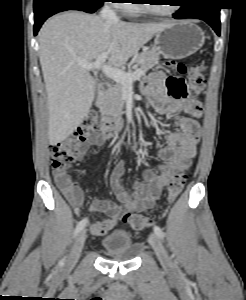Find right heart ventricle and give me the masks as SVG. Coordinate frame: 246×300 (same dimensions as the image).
<instances>
[{
	"mask_svg": "<svg viewBox=\"0 0 246 300\" xmlns=\"http://www.w3.org/2000/svg\"><path fill=\"white\" fill-rule=\"evenodd\" d=\"M123 9L130 15H138L140 13L139 7L134 4H126L125 6H123Z\"/></svg>",
	"mask_w": 246,
	"mask_h": 300,
	"instance_id": "1",
	"label": "right heart ventricle"
}]
</instances>
